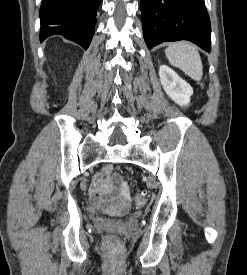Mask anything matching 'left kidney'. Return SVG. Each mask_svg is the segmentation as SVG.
Here are the masks:
<instances>
[{
    "instance_id": "left-kidney-1",
    "label": "left kidney",
    "mask_w": 247,
    "mask_h": 275,
    "mask_svg": "<svg viewBox=\"0 0 247 275\" xmlns=\"http://www.w3.org/2000/svg\"><path fill=\"white\" fill-rule=\"evenodd\" d=\"M161 84L166 94L178 105L186 106L193 95L192 87L167 65L159 68Z\"/></svg>"
}]
</instances>
